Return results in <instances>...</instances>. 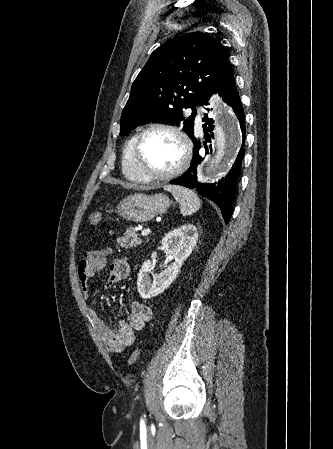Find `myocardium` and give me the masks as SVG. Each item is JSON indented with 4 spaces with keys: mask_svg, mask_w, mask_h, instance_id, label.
Wrapping results in <instances>:
<instances>
[{
    "mask_svg": "<svg viewBox=\"0 0 333 449\" xmlns=\"http://www.w3.org/2000/svg\"><path fill=\"white\" fill-rule=\"evenodd\" d=\"M155 130H161L165 131L172 136H174L181 145L182 150V157L178 165L172 169L171 171L163 174H151L147 173L143 170L140 163V156H141V145L142 142L147 134H149L152 131ZM191 155H192V147L191 143L188 139V137L185 135L183 131L178 129L175 126L165 124V123H151L147 125L143 130H141L135 139L134 146H133V163L134 167L138 173V175L141 177V179L145 182H162V181H168L171 180L180 174H182L186 168L189 166V163L191 161Z\"/></svg>",
    "mask_w": 333,
    "mask_h": 449,
    "instance_id": "obj_1",
    "label": "myocardium"
}]
</instances>
